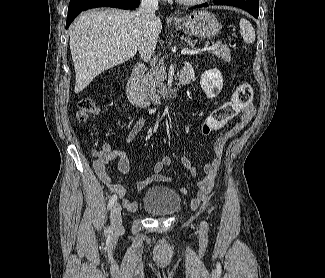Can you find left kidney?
Segmentation results:
<instances>
[{
  "mask_svg": "<svg viewBox=\"0 0 325 278\" xmlns=\"http://www.w3.org/2000/svg\"><path fill=\"white\" fill-rule=\"evenodd\" d=\"M200 86L208 98L216 97L223 87L221 72L218 69L205 71L200 79Z\"/></svg>",
  "mask_w": 325,
  "mask_h": 278,
  "instance_id": "1",
  "label": "left kidney"
}]
</instances>
